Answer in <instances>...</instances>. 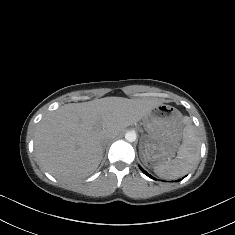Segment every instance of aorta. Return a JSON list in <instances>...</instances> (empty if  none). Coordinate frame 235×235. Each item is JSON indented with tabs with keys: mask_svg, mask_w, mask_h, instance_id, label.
<instances>
[{
	"mask_svg": "<svg viewBox=\"0 0 235 235\" xmlns=\"http://www.w3.org/2000/svg\"><path fill=\"white\" fill-rule=\"evenodd\" d=\"M136 138H137V136H136V133L134 131H130V132H127L125 134V139L128 142H135Z\"/></svg>",
	"mask_w": 235,
	"mask_h": 235,
	"instance_id": "1",
	"label": "aorta"
}]
</instances>
